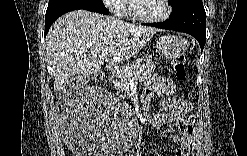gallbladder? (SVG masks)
I'll use <instances>...</instances> for the list:
<instances>
[{
	"label": "gallbladder",
	"instance_id": "obj_1",
	"mask_svg": "<svg viewBox=\"0 0 247 156\" xmlns=\"http://www.w3.org/2000/svg\"><path fill=\"white\" fill-rule=\"evenodd\" d=\"M86 82V77L73 76L68 82L64 85L63 93H69L75 88V84L77 86L84 85Z\"/></svg>",
	"mask_w": 247,
	"mask_h": 156
}]
</instances>
